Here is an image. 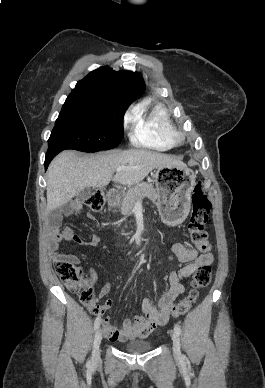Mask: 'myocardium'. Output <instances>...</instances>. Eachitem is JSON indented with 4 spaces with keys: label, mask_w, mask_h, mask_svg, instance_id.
I'll use <instances>...</instances> for the list:
<instances>
[{
    "label": "myocardium",
    "mask_w": 265,
    "mask_h": 388,
    "mask_svg": "<svg viewBox=\"0 0 265 388\" xmlns=\"http://www.w3.org/2000/svg\"><path fill=\"white\" fill-rule=\"evenodd\" d=\"M172 136L175 143H181L185 138V133L183 131H177L174 129Z\"/></svg>",
    "instance_id": "f54148a6"
}]
</instances>
